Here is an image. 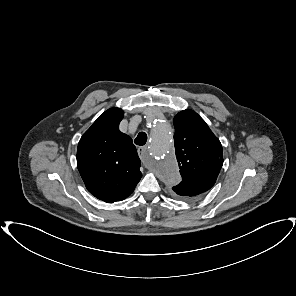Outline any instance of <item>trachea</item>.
I'll list each match as a JSON object with an SVG mask.
<instances>
[{"label": "trachea", "mask_w": 296, "mask_h": 296, "mask_svg": "<svg viewBox=\"0 0 296 296\" xmlns=\"http://www.w3.org/2000/svg\"><path fill=\"white\" fill-rule=\"evenodd\" d=\"M147 141V134L145 132H140L135 138L134 143L139 146L145 145Z\"/></svg>", "instance_id": "3493384b"}]
</instances>
